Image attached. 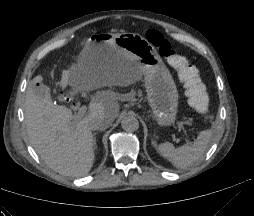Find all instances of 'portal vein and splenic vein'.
I'll return each instance as SVG.
<instances>
[{
    "label": "portal vein and splenic vein",
    "mask_w": 254,
    "mask_h": 216,
    "mask_svg": "<svg viewBox=\"0 0 254 216\" xmlns=\"http://www.w3.org/2000/svg\"><path fill=\"white\" fill-rule=\"evenodd\" d=\"M86 111H87V107H86V106L80 107L79 110H78V112H77V118H78V119H81V118L85 115ZM178 127L181 128V129H183V127L180 126V125H178ZM184 137H185V139H186V141H187L188 143H191V140H193V138H189V137H188V134H187V132H186L185 130H184Z\"/></svg>",
    "instance_id": "18ae733b"
}]
</instances>
